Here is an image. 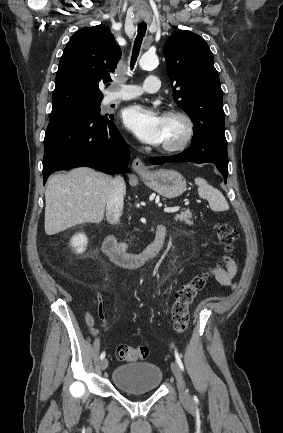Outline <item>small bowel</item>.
Segmentation results:
<instances>
[{
    "label": "small bowel",
    "mask_w": 283,
    "mask_h": 433,
    "mask_svg": "<svg viewBox=\"0 0 283 433\" xmlns=\"http://www.w3.org/2000/svg\"><path fill=\"white\" fill-rule=\"evenodd\" d=\"M238 265L237 262L233 259L226 260V266L224 268L216 267L213 272L218 283L224 286L232 287L234 282V277L237 274ZM100 316L102 317V311L100 308L99 311ZM86 324L88 330L92 336L98 335V330L95 327V319L92 313L87 312L85 315Z\"/></svg>",
    "instance_id": "c3829d8e"
}]
</instances>
